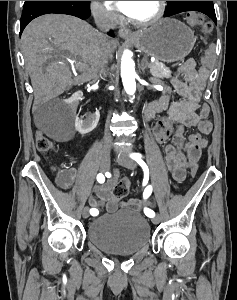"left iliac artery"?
Segmentation results:
<instances>
[{
	"instance_id": "1",
	"label": "left iliac artery",
	"mask_w": 237,
	"mask_h": 300,
	"mask_svg": "<svg viewBox=\"0 0 237 300\" xmlns=\"http://www.w3.org/2000/svg\"><path fill=\"white\" fill-rule=\"evenodd\" d=\"M130 157L135 160L143 169L144 172L146 173H149V169H148V166L146 165V163L142 160V155L139 154V153H132L130 155ZM152 193V186H147L146 189L144 190V193H143V197L144 199L148 198ZM144 212H145V215L152 218L155 216V213L154 211H152L151 209H148V208H144Z\"/></svg>"
}]
</instances>
